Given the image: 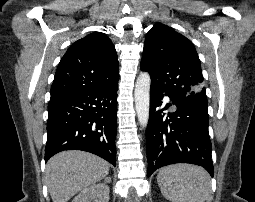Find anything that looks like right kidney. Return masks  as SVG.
<instances>
[{"label": "right kidney", "mask_w": 255, "mask_h": 202, "mask_svg": "<svg viewBox=\"0 0 255 202\" xmlns=\"http://www.w3.org/2000/svg\"><path fill=\"white\" fill-rule=\"evenodd\" d=\"M109 187L106 183H98L84 188L72 202H108Z\"/></svg>", "instance_id": "ca27d5eb"}]
</instances>
